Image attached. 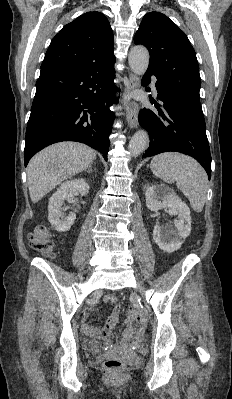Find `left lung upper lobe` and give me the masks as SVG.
I'll use <instances>...</instances> for the list:
<instances>
[{
    "label": "left lung upper lobe",
    "mask_w": 232,
    "mask_h": 399,
    "mask_svg": "<svg viewBox=\"0 0 232 399\" xmlns=\"http://www.w3.org/2000/svg\"><path fill=\"white\" fill-rule=\"evenodd\" d=\"M134 43L146 46L149 51L147 71L154 73L168 90L204 116L199 95V65L185 33L164 14L150 12L142 19Z\"/></svg>",
    "instance_id": "5c2ea615"
}]
</instances>
